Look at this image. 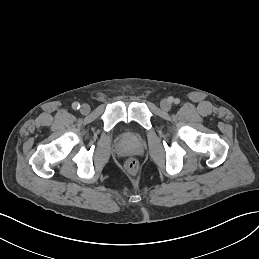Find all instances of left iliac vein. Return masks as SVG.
Listing matches in <instances>:
<instances>
[{
    "label": "left iliac vein",
    "mask_w": 259,
    "mask_h": 259,
    "mask_svg": "<svg viewBox=\"0 0 259 259\" xmlns=\"http://www.w3.org/2000/svg\"><path fill=\"white\" fill-rule=\"evenodd\" d=\"M160 107L162 110L164 111H169L171 108V101L167 100V99H163L160 103Z\"/></svg>",
    "instance_id": "obj_1"
}]
</instances>
